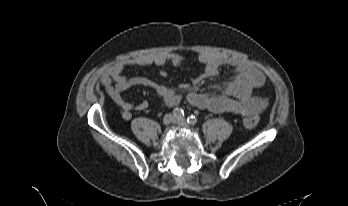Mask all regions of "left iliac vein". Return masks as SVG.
Returning <instances> with one entry per match:
<instances>
[{"label":"left iliac vein","instance_id":"obj_1","mask_svg":"<svg viewBox=\"0 0 348 206\" xmlns=\"http://www.w3.org/2000/svg\"><path fill=\"white\" fill-rule=\"evenodd\" d=\"M174 123H176V124H178L180 126H184V127L188 126V123H187L186 119H184V118L175 119Z\"/></svg>","mask_w":348,"mask_h":206}]
</instances>
